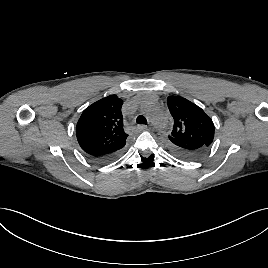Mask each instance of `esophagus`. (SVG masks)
<instances>
[{
	"instance_id": "34e87169",
	"label": "esophagus",
	"mask_w": 268,
	"mask_h": 268,
	"mask_svg": "<svg viewBox=\"0 0 268 268\" xmlns=\"http://www.w3.org/2000/svg\"><path fill=\"white\" fill-rule=\"evenodd\" d=\"M141 128H142V129H147V126L142 125Z\"/></svg>"
}]
</instances>
